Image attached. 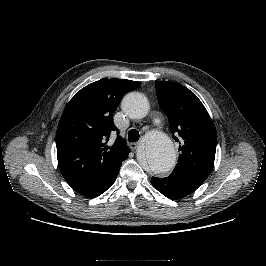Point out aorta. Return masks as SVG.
I'll list each match as a JSON object with an SVG mask.
<instances>
[{"label":"aorta","mask_w":266,"mask_h":266,"mask_svg":"<svg viewBox=\"0 0 266 266\" xmlns=\"http://www.w3.org/2000/svg\"><path fill=\"white\" fill-rule=\"evenodd\" d=\"M123 111L133 119H141L149 112L147 98L141 93H130L122 101ZM140 163L155 174L168 173L176 163V153L171 139L162 132L147 135L139 154Z\"/></svg>","instance_id":"obj_1"}]
</instances>
